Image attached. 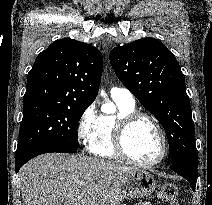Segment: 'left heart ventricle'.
Masks as SVG:
<instances>
[{
  "instance_id": "1",
  "label": "left heart ventricle",
  "mask_w": 212,
  "mask_h": 205,
  "mask_svg": "<svg viewBox=\"0 0 212 205\" xmlns=\"http://www.w3.org/2000/svg\"><path fill=\"white\" fill-rule=\"evenodd\" d=\"M128 153L139 161L156 159L161 150L160 138L154 125L147 119L136 120L125 137Z\"/></svg>"
}]
</instances>
